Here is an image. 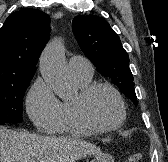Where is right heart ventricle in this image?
<instances>
[{
	"label": "right heart ventricle",
	"instance_id": "e07e8e85",
	"mask_svg": "<svg viewBox=\"0 0 168 162\" xmlns=\"http://www.w3.org/2000/svg\"><path fill=\"white\" fill-rule=\"evenodd\" d=\"M74 78L81 88L91 82V79ZM52 133L57 135L84 136L91 134L92 131L81 124L77 119L73 108V101L65 100L62 102V119Z\"/></svg>",
	"mask_w": 168,
	"mask_h": 162
}]
</instances>
